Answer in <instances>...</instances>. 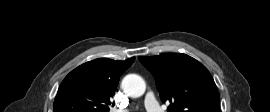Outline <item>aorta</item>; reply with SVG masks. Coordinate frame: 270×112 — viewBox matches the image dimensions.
<instances>
[{
    "instance_id": "762f6f07",
    "label": "aorta",
    "mask_w": 270,
    "mask_h": 112,
    "mask_svg": "<svg viewBox=\"0 0 270 112\" xmlns=\"http://www.w3.org/2000/svg\"><path fill=\"white\" fill-rule=\"evenodd\" d=\"M121 88L126 95L137 98L144 94L146 84L141 76L129 74L123 78Z\"/></svg>"
}]
</instances>
